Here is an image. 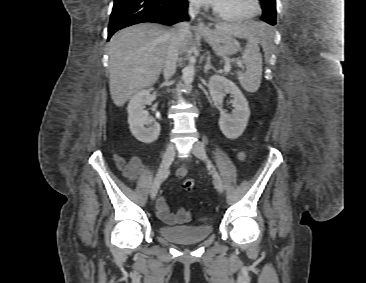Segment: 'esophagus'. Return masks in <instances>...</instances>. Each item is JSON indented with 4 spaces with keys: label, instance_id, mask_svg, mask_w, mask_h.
<instances>
[{
    "label": "esophagus",
    "instance_id": "obj_1",
    "mask_svg": "<svg viewBox=\"0 0 366 283\" xmlns=\"http://www.w3.org/2000/svg\"><path fill=\"white\" fill-rule=\"evenodd\" d=\"M197 29L204 32L209 30V28L203 22H199L197 24Z\"/></svg>",
    "mask_w": 366,
    "mask_h": 283
}]
</instances>
